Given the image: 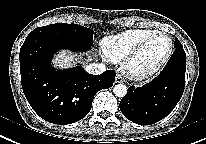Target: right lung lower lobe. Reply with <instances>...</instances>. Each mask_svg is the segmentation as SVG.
I'll return each mask as SVG.
<instances>
[{"instance_id": "1", "label": "right lung lower lobe", "mask_w": 206, "mask_h": 144, "mask_svg": "<svg viewBox=\"0 0 206 144\" xmlns=\"http://www.w3.org/2000/svg\"><path fill=\"white\" fill-rule=\"evenodd\" d=\"M61 48L79 52L89 49L37 36L25 40L19 58L23 92L32 109L50 123L66 125L89 113L95 94L113 86L115 72L91 75L81 66L56 71L50 61Z\"/></svg>"}]
</instances>
